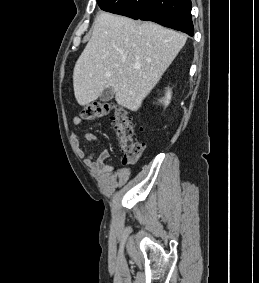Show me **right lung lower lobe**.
<instances>
[{
    "instance_id": "obj_1",
    "label": "right lung lower lobe",
    "mask_w": 259,
    "mask_h": 283,
    "mask_svg": "<svg viewBox=\"0 0 259 283\" xmlns=\"http://www.w3.org/2000/svg\"><path fill=\"white\" fill-rule=\"evenodd\" d=\"M107 12L149 20L193 36L190 0H97Z\"/></svg>"
}]
</instances>
